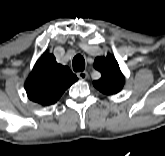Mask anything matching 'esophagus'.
<instances>
[{"mask_svg":"<svg viewBox=\"0 0 165 156\" xmlns=\"http://www.w3.org/2000/svg\"><path fill=\"white\" fill-rule=\"evenodd\" d=\"M77 76L81 80H85L88 77V73L86 71H80L77 73Z\"/></svg>","mask_w":165,"mask_h":156,"instance_id":"esophagus-1","label":"esophagus"}]
</instances>
